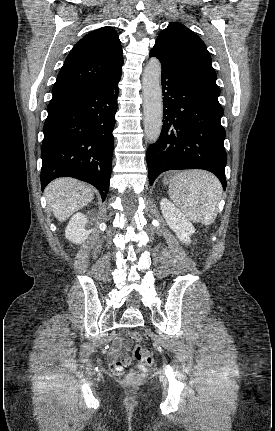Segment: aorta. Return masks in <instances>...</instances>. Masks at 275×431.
I'll list each match as a JSON object with an SVG mask.
<instances>
[{"instance_id": "762f6f07", "label": "aorta", "mask_w": 275, "mask_h": 431, "mask_svg": "<svg viewBox=\"0 0 275 431\" xmlns=\"http://www.w3.org/2000/svg\"><path fill=\"white\" fill-rule=\"evenodd\" d=\"M144 131L147 139L155 143L161 133L163 102L161 88V63L152 57L146 64L143 78Z\"/></svg>"}]
</instances>
